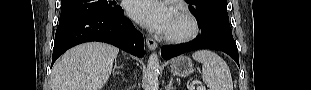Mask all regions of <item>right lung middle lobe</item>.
<instances>
[{
    "instance_id": "right-lung-middle-lobe-1",
    "label": "right lung middle lobe",
    "mask_w": 311,
    "mask_h": 90,
    "mask_svg": "<svg viewBox=\"0 0 311 90\" xmlns=\"http://www.w3.org/2000/svg\"><path fill=\"white\" fill-rule=\"evenodd\" d=\"M116 2L107 0H61L59 24L87 15H110L120 10Z\"/></svg>"
}]
</instances>
